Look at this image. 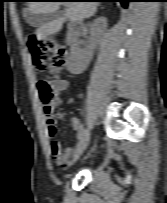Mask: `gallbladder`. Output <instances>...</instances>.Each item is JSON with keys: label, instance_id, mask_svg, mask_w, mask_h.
<instances>
[{"label": "gallbladder", "instance_id": "1", "mask_svg": "<svg viewBox=\"0 0 167 203\" xmlns=\"http://www.w3.org/2000/svg\"><path fill=\"white\" fill-rule=\"evenodd\" d=\"M62 16H63V11H60V10H57L51 13L27 12L26 20L33 27H41Z\"/></svg>", "mask_w": 167, "mask_h": 203}]
</instances>
